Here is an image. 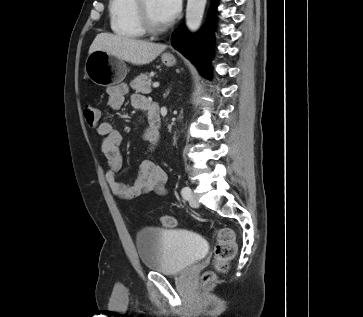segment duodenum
I'll return each mask as SVG.
<instances>
[{
    "label": "duodenum",
    "instance_id": "410a0bca",
    "mask_svg": "<svg viewBox=\"0 0 363 317\" xmlns=\"http://www.w3.org/2000/svg\"><path fill=\"white\" fill-rule=\"evenodd\" d=\"M147 113H148V128L146 130L148 134V140L151 142V144L155 145L159 142L160 139V113H159V104L155 102H149L147 107Z\"/></svg>",
    "mask_w": 363,
    "mask_h": 317
}]
</instances>
